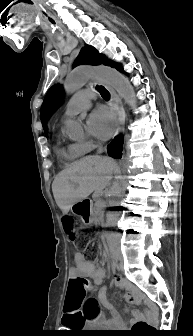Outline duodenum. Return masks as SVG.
<instances>
[{
	"instance_id": "1",
	"label": "duodenum",
	"mask_w": 193,
	"mask_h": 336,
	"mask_svg": "<svg viewBox=\"0 0 193 336\" xmlns=\"http://www.w3.org/2000/svg\"><path fill=\"white\" fill-rule=\"evenodd\" d=\"M115 254V253H114ZM115 258H117L118 256L114 255Z\"/></svg>"
}]
</instances>
